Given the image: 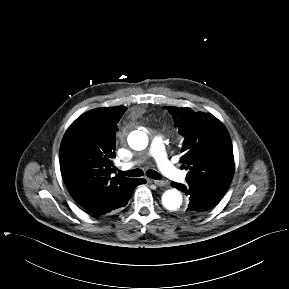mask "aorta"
<instances>
[{"label": "aorta", "instance_id": "obj_1", "mask_svg": "<svg viewBox=\"0 0 289 289\" xmlns=\"http://www.w3.org/2000/svg\"><path fill=\"white\" fill-rule=\"evenodd\" d=\"M128 144L134 150H143L148 145V136L142 131H135L128 137ZM182 195L176 189H169L162 195V204L169 211H177L182 205Z\"/></svg>", "mask_w": 289, "mask_h": 289}]
</instances>
